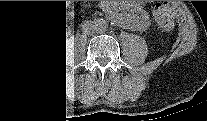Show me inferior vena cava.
Instances as JSON below:
<instances>
[{
  "label": "inferior vena cava",
  "instance_id": "602c4592",
  "mask_svg": "<svg viewBox=\"0 0 207 121\" xmlns=\"http://www.w3.org/2000/svg\"><path fill=\"white\" fill-rule=\"evenodd\" d=\"M83 30L88 35H93L96 32L95 31V24H94V22L88 24L87 26H83Z\"/></svg>",
  "mask_w": 207,
  "mask_h": 121
}]
</instances>
